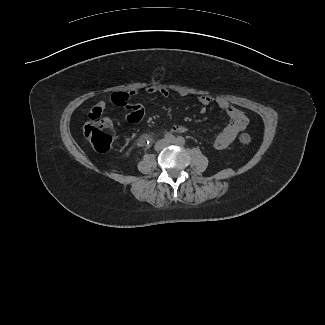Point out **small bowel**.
<instances>
[{
    "instance_id": "small-bowel-1",
    "label": "small bowel",
    "mask_w": 325,
    "mask_h": 325,
    "mask_svg": "<svg viewBox=\"0 0 325 325\" xmlns=\"http://www.w3.org/2000/svg\"><path fill=\"white\" fill-rule=\"evenodd\" d=\"M148 94H158L164 98L169 96V90L162 86L152 85L145 89ZM139 91H131L129 93L126 92H116L113 95V102L119 109H128V112L125 115V118L130 123H137L141 121L145 115V108L140 103H134L130 105L131 96L139 95ZM180 96H186L187 93L184 91H180L178 93ZM213 98L209 95H200L198 97V101L203 105L207 106L213 102ZM216 103L219 108L224 110L227 115L230 117L231 121L223 128V130L216 135L214 139V146L217 149H225L229 145L233 143L238 134L245 130L248 119L247 116L231 105L224 98H217ZM108 105L105 101H100L90 110L89 114H98L101 116L102 113L107 110ZM202 112H205V109H202ZM171 130L176 133H183L186 131V128L181 125H174Z\"/></svg>"
}]
</instances>
